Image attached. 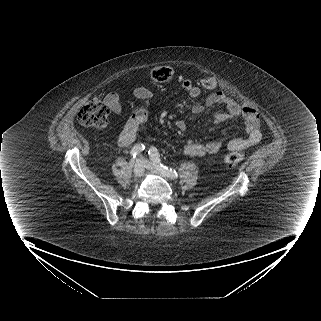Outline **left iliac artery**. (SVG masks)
<instances>
[{"label":"left iliac artery","instance_id":"1","mask_svg":"<svg viewBox=\"0 0 321 321\" xmlns=\"http://www.w3.org/2000/svg\"><path fill=\"white\" fill-rule=\"evenodd\" d=\"M148 154L150 156L151 161L153 162V165L160 171H162L167 177L171 179H177L178 174L175 170L169 169L165 165L161 163L160 160V154L158 150L155 147H151L148 151Z\"/></svg>","mask_w":321,"mask_h":321}]
</instances>
